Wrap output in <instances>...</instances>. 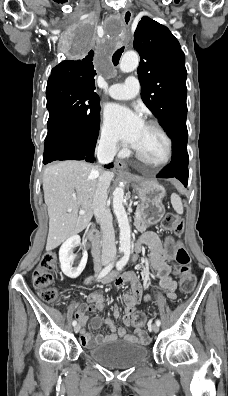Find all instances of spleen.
Masks as SVG:
<instances>
[{
    "mask_svg": "<svg viewBox=\"0 0 228 396\" xmlns=\"http://www.w3.org/2000/svg\"><path fill=\"white\" fill-rule=\"evenodd\" d=\"M171 203L175 211L179 214L183 213L182 200L178 194H173L171 197Z\"/></svg>",
    "mask_w": 228,
    "mask_h": 396,
    "instance_id": "3e777b00",
    "label": "spleen"
}]
</instances>
